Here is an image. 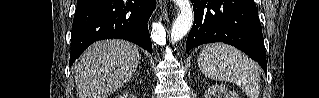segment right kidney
I'll return each mask as SVG.
<instances>
[{"label": "right kidney", "instance_id": "right-kidney-1", "mask_svg": "<svg viewBox=\"0 0 319 98\" xmlns=\"http://www.w3.org/2000/svg\"><path fill=\"white\" fill-rule=\"evenodd\" d=\"M126 96H129V94H126ZM123 97H125V96H121V98H123ZM131 97H133V95H131Z\"/></svg>", "mask_w": 319, "mask_h": 98}]
</instances>
